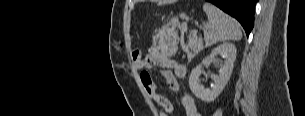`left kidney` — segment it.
Returning <instances> with one entry per match:
<instances>
[{
  "label": "left kidney",
  "instance_id": "obj_1",
  "mask_svg": "<svg viewBox=\"0 0 305 116\" xmlns=\"http://www.w3.org/2000/svg\"><path fill=\"white\" fill-rule=\"evenodd\" d=\"M236 54L237 49L234 44L223 43L214 48L210 55L205 57L201 64L191 71L189 76V86L192 93L198 99L209 103L214 101L219 96L230 79L234 62L236 60ZM217 55H221L225 58L224 64L218 75H212L213 84L211 89H205L204 86L199 83V77L203 69L202 66L210 65L211 62L215 61Z\"/></svg>",
  "mask_w": 305,
  "mask_h": 116
}]
</instances>
